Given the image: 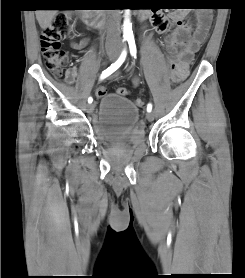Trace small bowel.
Wrapping results in <instances>:
<instances>
[{"instance_id":"small-bowel-1","label":"small bowel","mask_w":245,"mask_h":278,"mask_svg":"<svg viewBox=\"0 0 245 278\" xmlns=\"http://www.w3.org/2000/svg\"><path fill=\"white\" fill-rule=\"evenodd\" d=\"M185 14L183 12H173L166 16L164 14H155L152 16L153 27L156 32L164 34L163 47L168 55V63L171 69L182 78L186 77L189 71V65L195 54L206 40L208 30L206 23L210 14L200 9L193 13L195 27L192 28L187 22H184ZM174 26L172 30H170ZM89 39L83 37L80 41H72L74 49H82L88 44ZM77 69L74 66L69 67L65 73V81L73 84L76 80ZM138 82V79H134ZM105 90L99 88L98 96H103Z\"/></svg>"}]
</instances>
